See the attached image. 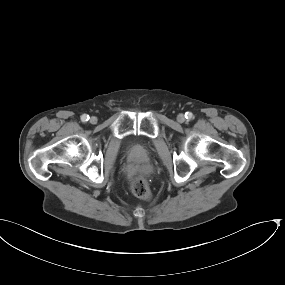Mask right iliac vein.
Segmentation results:
<instances>
[{
  "label": "right iliac vein",
  "mask_w": 285,
  "mask_h": 285,
  "mask_svg": "<svg viewBox=\"0 0 285 285\" xmlns=\"http://www.w3.org/2000/svg\"><path fill=\"white\" fill-rule=\"evenodd\" d=\"M90 123H91V124H96V123H97V118L94 117V116H92V117L90 118Z\"/></svg>",
  "instance_id": "1"
}]
</instances>
